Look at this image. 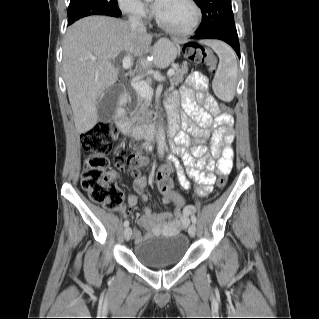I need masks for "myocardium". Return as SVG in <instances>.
Masks as SVG:
<instances>
[{
	"label": "myocardium",
	"mask_w": 319,
	"mask_h": 319,
	"mask_svg": "<svg viewBox=\"0 0 319 319\" xmlns=\"http://www.w3.org/2000/svg\"><path fill=\"white\" fill-rule=\"evenodd\" d=\"M190 6L191 8L193 9L194 11V17L191 21V23L186 26L185 28H176V27H173V26H170L168 24H166L159 16L158 14L155 12L154 13V18H155V21H156V24L164 29L165 31L173 34V35H176V36H187L189 34H191L198 26L200 20H201V17H202V11L199 7V5L196 3L195 0H185Z\"/></svg>",
	"instance_id": "myocardium-1"
}]
</instances>
